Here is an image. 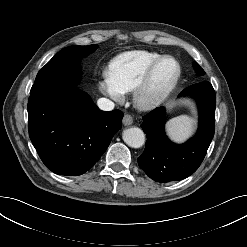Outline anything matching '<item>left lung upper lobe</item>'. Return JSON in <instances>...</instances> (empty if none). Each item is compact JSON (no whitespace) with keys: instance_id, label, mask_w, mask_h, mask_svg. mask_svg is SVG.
Wrapping results in <instances>:
<instances>
[{"instance_id":"obj_1","label":"left lung upper lobe","mask_w":247,"mask_h":247,"mask_svg":"<svg viewBox=\"0 0 247 247\" xmlns=\"http://www.w3.org/2000/svg\"><path fill=\"white\" fill-rule=\"evenodd\" d=\"M193 66L198 75L202 76L205 74L204 70L196 62L193 63Z\"/></svg>"}]
</instances>
